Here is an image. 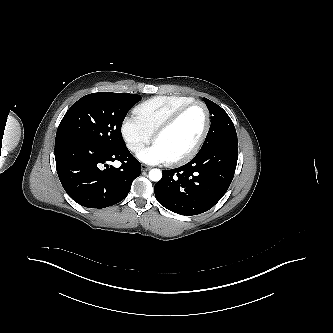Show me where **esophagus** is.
Listing matches in <instances>:
<instances>
[{"mask_svg": "<svg viewBox=\"0 0 333 333\" xmlns=\"http://www.w3.org/2000/svg\"><path fill=\"white\" fill-rule=\"evenodd\" d=\"M151 167L147 166V165H141V170L142 171H148L150 170Z\"/></svg>", "mask_w": 333, "mask_h": 333, "instance_id": "1", "label": "esophagus"}]
</instances>
